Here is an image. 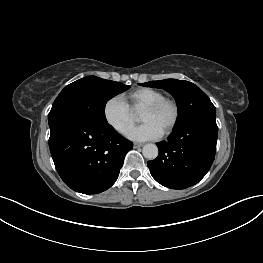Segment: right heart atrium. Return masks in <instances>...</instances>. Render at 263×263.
Instances as JSON below:
<instances>
[{"mask_svg":"<svg viewBox=\"0 0 263 263\" xmlns=\"http://www.w3.org/2000/svg\"><path fill=\"white\" fill-rule=\"evenodd\" d=\"M103 116L107 124L119 134H126L134 123V113L121 95H114L103 105Z\"/></svg>","mask_w":263,"mask_h":263,"instance_id":"right-heart-atrium-1","label":"right heart atrium"}]
</instances>
